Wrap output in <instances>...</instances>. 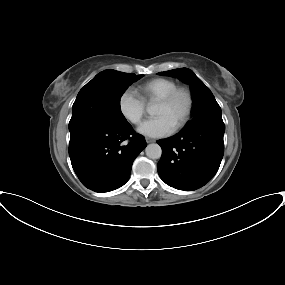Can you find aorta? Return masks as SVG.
Instances as JSON below:
<instances>
[{
	"mask_svg": "<svg viewBox=\"0 0 285 285\" xmlns=\"http://www.w3.org/2000/svg\"><path fill=\"white\" fill-rule=\"evenodd\" d=\"M147 112L152 115L154 113L153 108L148 107ZM145 153L150 159H159L162 155V149L158 144L153 143L147 145Z\"/></svg>",
	"mask_w": 285,
	"mask_h": 285,
	"instance_id": "762f6f07",
	"label": "aorta"
}]
</instances>
